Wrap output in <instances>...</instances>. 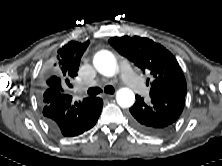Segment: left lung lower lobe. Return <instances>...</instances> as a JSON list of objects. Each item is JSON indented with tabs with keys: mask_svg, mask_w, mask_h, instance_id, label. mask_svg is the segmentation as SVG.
Here are the masks:
<instances>
[{
	"mask_svg": "<svg viewBox=\"0 0 222 166\" xmlns=\"http://www.w3.org/2000/svg\"><path fill=\"white\" fill-rule=\"evenodd\" d=\"M182 93L164 91L150 94V101L136 95L130 108L131 125L141 133L160 136L165 134L179 118L185 104Z\"/></svg>",
	"mask_w": 222,
	"mask_h": 166,
	"instance_id": "0a47b994",
	"label": "left lung lower lobe"
}]
</instances>
